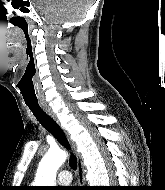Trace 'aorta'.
<instances>
[{
  "instance_id": "1",
  "label": "aorta",
  "mask_w": 165,
  "mask_h": 190,
  "mask_svg": "<svg viewBox=\"0 0 165 190\" xmlns=\"http://www.w3.org/2000/svg\"><path fill=\"white\" fill-rule=\"evenodd\" d=\"M66 158L65 151L59 148L50 149L39 164L35 183L38 186H54L57 170Z\"/></svg>"
}]
</instances>
